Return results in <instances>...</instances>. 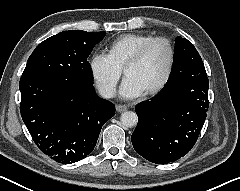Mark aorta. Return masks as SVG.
Returning a JSON list of instances; mask_svg holds the SVG:
<instances>
[{
    "mask_svg": "<svg viewBox=\"0 0 240 191\" xmlns=\"http://www.w3.org/2000/svg\"><path fill=\"white\" fill-rule=\"evenodd\" d=\"M120 121L124 127L131 128L137 124L138 117L135 112L126 111L121 114Z\"/></svg>",
    "mask_w": 240,
    "mask_h": 191,
    "instance_id": "aorta-1",
    "label": "aorta"
}]
</instances>
